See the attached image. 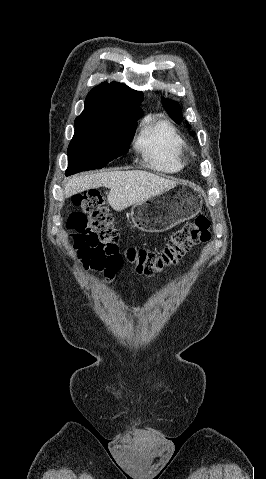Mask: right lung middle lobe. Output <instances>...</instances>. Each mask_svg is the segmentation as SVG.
<instances>
[{"label": "right lung middle lobe", "instance_id": "right-lung-middle-lobe-1", "mask_svg": "<svg viewBox=\"0 0 266 479\" xmlns=\"http://www.w3.org/2000/svg\"><path fill=\"white\" fill-rule=\"evenodd\" d=\"M136 121L75 119V133L68 146L66 176L102 168L126 154L135 133Z\"/></svg>", "mask_w": 266, "mask_h": 479}]
</instances>
